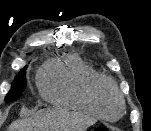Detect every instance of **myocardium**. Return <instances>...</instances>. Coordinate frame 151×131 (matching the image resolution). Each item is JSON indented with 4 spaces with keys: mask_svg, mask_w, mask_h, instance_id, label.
Wrapping results in <instances>:
<instances>
[{
    "mask_svg": "<svg viewBox=\"0 0 151 131\" xmlns=\"http://www.w3.org/2000/svg\"><path fill=\"white\" fill-rule=\"evenodd\" d=\"M108 94L114 95L119 102V111L117 115L115 116H110L104 108V98ZM93 100H94L96 109L98 110L100 115L104 118L119 117L123 113L126 106L124 95L119 90L117 85L110 78H107V77H103L96 84Z\"/></svg>",
    "mask_w": 151,
    "mask_h": 131,
    "instance_id": "1",
    "label": "myocardium"
}]
</instances>
